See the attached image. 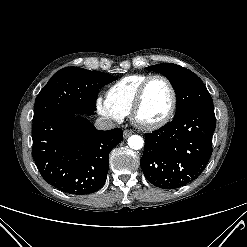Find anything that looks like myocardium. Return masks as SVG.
<instances>
[{
  "mask_svg": "<svg viewBox=\"0 0 247 247\" xmlns=\"http://www.w3.org/2000/svg\"><path fill=\"white\" fill-rule=\"evenodd\" d=\"M155 79H162L168 84L170 91H171V105L166 115L162 117L160 120L151 122V123L143 122L138 118V113L143 103L147 87ZM177 100H178V97H177L176 87L168 76L164 74L150 75L147 79L143 81V83L140 85V87L138 88L135 94V97H134V100L131 106V111H130L131 120L133 121L135 125H137L141 129L156 130L166 125L172 119L175 113L176 107H177Z\"/></svg>",
  "mask_w": 247,
  "mask_h": 247,
  "instance_id": "myocardium-1",
  "label": "myocardium"
}]
</instances>
